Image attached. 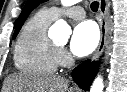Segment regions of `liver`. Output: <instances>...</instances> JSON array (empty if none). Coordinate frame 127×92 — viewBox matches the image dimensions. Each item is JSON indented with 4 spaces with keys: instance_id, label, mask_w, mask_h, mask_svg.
Returning a JSON list of instances; mask_svg holds the SVG:
<instances>
[{
    "instance_id": "obj_1",
    "label": "liver",
    "mask_w": 127,
    "mask_h": 92,
    "mask_svg": "<svg viewBox=\"0 0 127 92\" xmlns=\"http://www.w3.org/2000/svg\"><path fill=\"white\" fill-rule=\"evenodd\" d=\"M4 92H74L63 77L14 74L6 78ZM77 92V91H75Z\"/></svg>"
}]
</instances>
